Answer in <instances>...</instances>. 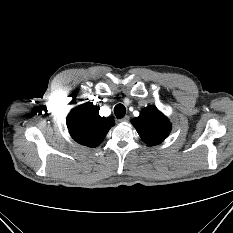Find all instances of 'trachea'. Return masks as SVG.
I'll return each instance as SVG.
<instances>
[{"label": "trachea", "mask_w": 233, "mask_h": 233, "mask_svg": "<svg viewBox=\"0 0 233 233\" xmlns=\"http://www.w3.org/2000/svg\"><path fill=\"white\" fill-rule=\"evenodd\" d=\"M114 113L118 119L123 118L126 113V108L123 104H118L114 107Z\"/></svg>", "instance_id": "3493384b"}]
</instances>
